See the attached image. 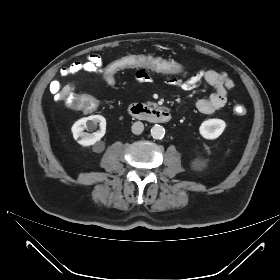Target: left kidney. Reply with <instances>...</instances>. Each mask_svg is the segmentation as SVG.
<instances>
[{
	"instance_id": "obj_1",
	"label": "left kidney",
	"mask_w": 280,
	"mask_h": 280,
	"mask_svg": "<svg viewBox=\"0 0 280 280\" xmlns=\"http://www.w3.org/2000/svg\"><path fill=\"white\" fill-rule=\"evenodd\" d=\"M226 127L225 121L221 119H208L202 122L199 127V132L205 139H216L224 131Z\"/></svg>"
}]
</instances>
